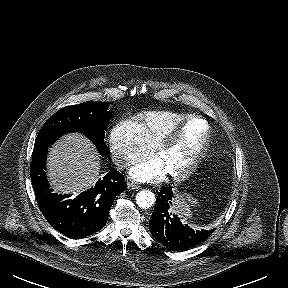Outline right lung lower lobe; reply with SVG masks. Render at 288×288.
<instances>
[{"label":"right lung lower lobe","mask_w":288,"mask_h":288,"mask_svg":"<svg viewBox=\"0 0 288 288\" xmlns=\"http://www.w3.org/2000/svg\"><path fill=\"white\" fill-rule=\"evenodd\" d=\"M48 148L34 150L30 176L39 208L49 224L71 238H82L99 231L107 222L115 197L126 190L123 175L111 169L95 186L75 198L52 193L46 180Z\"/></svg>","instance_id":"obj_1"}]
</instances>
